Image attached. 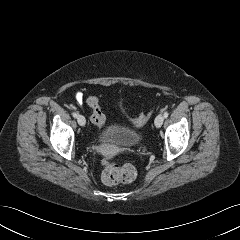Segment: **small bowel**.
Here are the masks:
<instances>
[{
  "label": "small bowel",
  "mask_w": 240,
  "mask_h": 240,
  "mask_svg": "<svg viewBox=\"0 0 240 240\" xmlns=\"http://www.w3.org/2000/svg\"><path fill=\"white\" fill-rule=\"evenodd\" d=\"M76 100H77L78 103H82V101H83V95H82L81 92H78V93L76 94Z\"/></svg>",
  "instance_id": "obj_1"
}]
</instances>
